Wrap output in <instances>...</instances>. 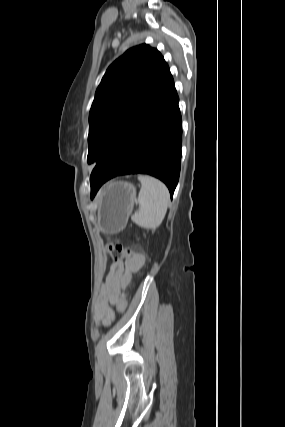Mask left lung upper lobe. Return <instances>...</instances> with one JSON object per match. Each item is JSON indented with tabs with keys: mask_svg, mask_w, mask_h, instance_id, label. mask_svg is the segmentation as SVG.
I'll return each instance as SVG.
<instances>
[{
	"mask_svg": "<svg viewBox=\"0 0 285 427\" xmlns=\"http://www.w3.org/2000/svg\"><path fill=\"white\" fill-rule=\"evenodd\" d=\"M169 67L160 52L142 44L107 69L89 114L88 163L97 162L149 104Z\"/></svg>",
	"mask_w": 285,
	"mask_h": 427,
	"instance_id": "1",
	"label": "left lung upper lobe"
}]
</instances>
